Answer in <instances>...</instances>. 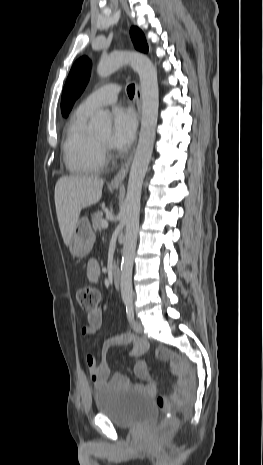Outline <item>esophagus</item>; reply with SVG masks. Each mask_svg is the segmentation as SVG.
<instances>
[{
    "label": "esophagus",
    "mask_w": 263,
    "mask_h": 465,
    "mask_svg": "<svg viewBox=\"0 0 263 465\" xmlns=\"http://www.w3.org/2000/svg\"><path fill=\"white\" fill-rule=\"evenodd\" d=\"M135 100H136V106H137V113H138V117L139 119H141V113H142V94H141V88L140 86L137 84L136 85V91H135ZM134 151H135V147L133 148L132 152L130 153V155L127 157V159L125 160V162L123 163L121 169L118 171V173L114 176V178L111 180V184L112 185H119L123 182V180L125 179L128 171H129V167L131 165V162L133 160V155H134Z\"/></svg>",
    "instance_id": "34e87169"
}]
</instances>
